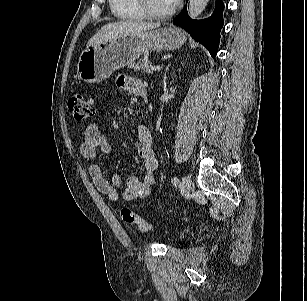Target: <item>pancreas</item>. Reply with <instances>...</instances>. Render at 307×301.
Here are the masks:
<instances>
[{"instance_id": "1", "label": "pancreas", "mask_w": 307, "mask_h": 301, "mask_svg": "<svg viewBox=\"0 0 307 301\" xmlns=\"http://www.w3.org/2000/svg\"><path fill=\"white\" fill-rule=\"evenodd\" d=\"M150 66H151L150 60L148 59L147 56H144L136 64L133 63L129 67L137 72L140 71L141 73H144V72L151 73L152 70L150 69Z\"/></svg>"}]
</instances>
